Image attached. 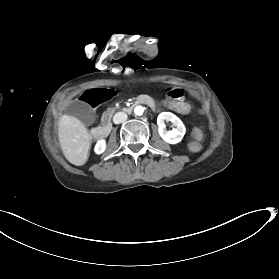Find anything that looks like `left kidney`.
<instances>
[{
  "label": "left kidney",
  "mask_w": 279,
  "mask_h": 279,
  "mask_svg": "<svg viewBox=\"0 0 279 279\" xmlns=\"http://www.w3.org/2000/svg\"><path fill=\"white\" fill-rule=\"evenodd\" d=\"M166 122H172L176 128L172 130H166ZM158 132L161 138L170 144L179 143L185 135L186 128L183 122L171 112H162L157 118Z\"/></svg>",
  "instance_id": "1"
}]
</instances>
